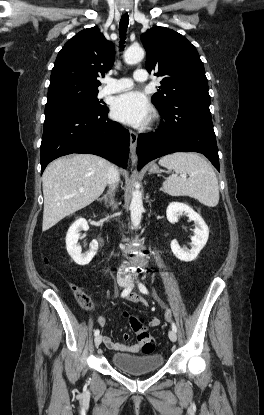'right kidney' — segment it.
I'll return each mask as SVG.
<instances>
[{
    "label": "right kidney",
    "mask_w": 264,
    "mask_h": 415,
    "mask_svg": "<svg viewBox=\"0 0 264 415\" xmlns=\"http://www.w3.org/2000/svg\"><path fill=\"white\" fill-rule=\"evenodd\" d=\"M88 229L89 226L87 221L84 218H79L70 226L66 235L67 252L73 261L81 266L89 264L98 250V242L93 240L90 243L89 251L86 253H81V247L78 244L80 231H86Z\"/></svg>",
    "instance_id": "1"
}]
</instances>
